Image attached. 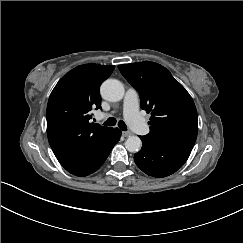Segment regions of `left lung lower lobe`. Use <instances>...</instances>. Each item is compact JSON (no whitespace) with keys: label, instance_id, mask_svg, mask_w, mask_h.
<instances>
[{"label":"left lung lower lobe","instance_id":"0a47b994","mask_svg":"<svg viewBox=\"0 0 243 243\" xmlns=\"http://www.w3.org/2000/svg\"><path fill=\"white\" fill-rule=\"evenodd\" d=\"M142 149L134 155L136 165L147 175L166 177L176 172L188 159L191 150L140 136Z\"/></svg>","mask_w":243,"mask_h":243}]
</instances>
